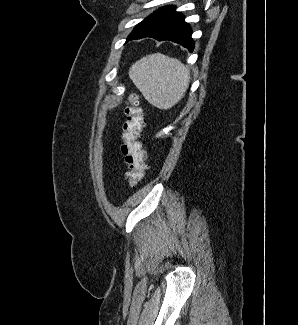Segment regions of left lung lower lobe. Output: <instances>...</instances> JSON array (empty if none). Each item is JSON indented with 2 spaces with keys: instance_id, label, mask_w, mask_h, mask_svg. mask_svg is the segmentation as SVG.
I'll use <instances>...</instances> for the list:
<instances>
[{
  "instance_id": "0a47b994",
  "label": "left lung lower lobe",
  "mask_w": 298,
  "mask_h": 325,
  "mask_svg": "<svg viewBox=\"0 0 298 325\" xmlns=\"http://www.w3.org/2000/svg\"><path fill=\"white\" fill-rule=\"evenodd\" d=\"M192 29L184 21V16L175 11L174 6H165L140 22L128 40L152 37L159 41L171 40L193 51Z\"/></svg>"
}]
</instances>
